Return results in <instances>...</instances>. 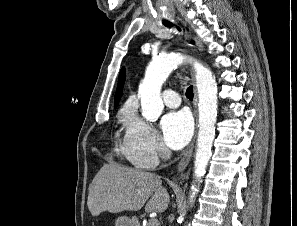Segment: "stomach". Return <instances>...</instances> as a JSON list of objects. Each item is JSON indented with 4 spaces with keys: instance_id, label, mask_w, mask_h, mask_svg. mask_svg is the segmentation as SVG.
Masks as SVG:
<instances>
[{
    "instance_id": "1",
    "label": "stomach",
    "mask_w": 297,
    "mask_h": 226,
    "mask_svg": "<svg viewBox=\"0 0 297 226\" xmlns=\"http://www.w3.org/2000/svg\"><path fill=\"white\" fill-rule=\"evenodd\" d=\"M116 226H139L136 218L121 216L116 220Z\"/></svg>"
}]
</instances>
